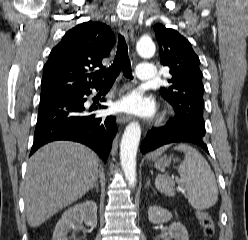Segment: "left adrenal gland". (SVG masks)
<instances>
[{
  "label": "left adrenal gland",
  "instance_id": "obj_1",
  "mask_svg": "<svg viewBox=\"0 0 248 240\" xmlns=\"http://www.w3.org/2000/svg\"><path fill=\"white\" fill-rule=\"evenodd\" d=\"M149 186H150V180H148L146 183V187H149Z\"/></svg>",
  "mask_w": 248,
  "mask_h": 240
}]
</instances>
